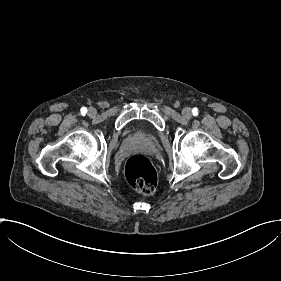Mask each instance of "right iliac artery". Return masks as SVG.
Instances as JSON below:
<instances>
[{
    "mask_svg": "<svg viewBox=\"0 0 281 281\" xmlns=\"http://www.w3.org/2000/svg\"><path fill=\"white\" fill-rule=\"evenodd\" d=\"M81 112H82V113H86V112H87V108L82 107V108H81Z\"/></svg>",
    "mask_w": 281,
    "mask_h": 281,
    "instance_id": "right-iliac-artery-1",
    "label": "right iliac artery"
}]
</instances>
